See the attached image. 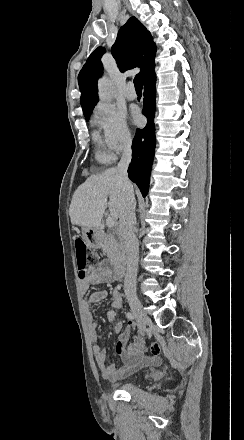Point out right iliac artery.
<instances>
[{
    "label": "right iliac artery",
    "mask_w": 244,
    "mask_h": 440,
    "mask_svg": "<svg viewBox=\"0 0 244 440\" xmlns=\"http://www.w3.org/2000/svg\"><path fill=\"white\" fill-rule=\"evenodd\" d=\"M126 317L130 320L136 319V315L133 312H127Z\"/></svg>",
    "instance_id": "obj_1"
}]
</instances>
